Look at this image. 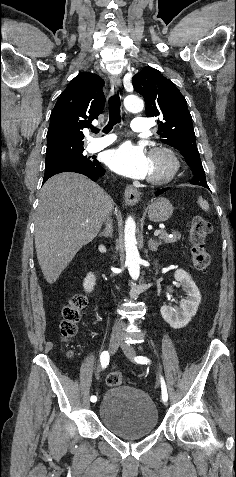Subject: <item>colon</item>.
<instances>
[{
  "label": "colon",
  "mask_w": 236,
  "mask_h": 477,
  "mask_svg": "<svg viewBox=\"0 0 236 477\" xmlns=\"http://www.w3.org/2000/svg\"><path fill=\"white\" fill-rule=\"evenodd\" d=\"M210 232L211 224L209 221L203 218L193 220L189 232L191 254L195 268L200 271L207 270L211 263V256L206 249V240ZM86 303V298L78 294L70 297L62 307L60 335L64 342L70 341L76 335ZM106 383L111 387L121 385V374L118 371L110 372L106 377Z\"/></svg>",
  "instance_id": "1"
}]
</instances>
